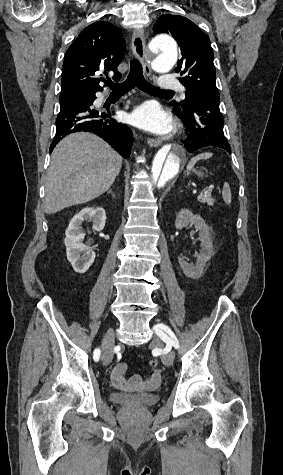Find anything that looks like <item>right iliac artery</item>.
Segmentation results:
<instances>
[{
	"instance_id": "1",
	"label": "right iliac artery",
	"mask_w": 283,
	"mask_h": 475,
	"mask_svg": "<svg viewBox=\"0 0 283 475\" xmlns=\"http://www.w3.org/2000/svg\"><path fill=\"white\" fill-rule=\"evenodd\" d=\"M99 357H100V349L97 348V349L94 350L93 358H94L95 361H98Z\"/></svg>"
}]
</instances>
